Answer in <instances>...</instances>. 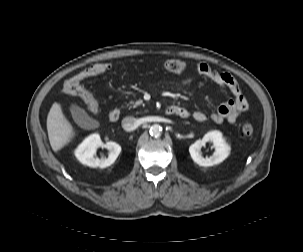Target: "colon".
Returning a JSON list of instances; mask_svg holds the SVG:
<instances>
[{"instance_id": "colon-1", "label": "colon", "mask_w": 303, "mask_h": 252, "mask_svg": "<svg viewBox=\"0 0 303 252\" xmlns=\"http://www.w3.org/2000/svg\"><path fill=\"white\" fill-rule=\"evenodd\" d=\"M160 64L164 70L172 73H183L186 70V64L181 60L168 59ZM113 68L114 64L112 63L92 64L69 79L66 87L71 95L79 96L85 101L92 114H96L98 112V101L95 94L85 91L79 85V82L86 77L109 73ZM241 132L243 136L250 137L254 133V127L246 122L242 125Z\"/></svg>"}]
</instances>
